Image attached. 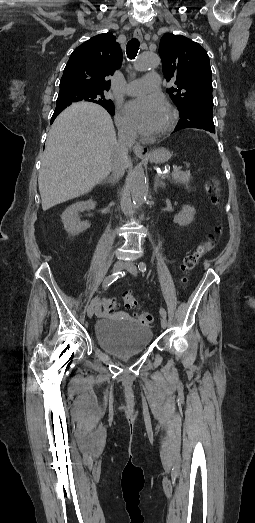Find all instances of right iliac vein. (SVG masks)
<instances>
[{"label": "right iliac vein", "mask_w": 255, "mask_h": 523, "mask_svg": "<svg viewBox=\"0 0 255 523\" xmlns=\"http://www.w3.org/2000/svg\"><path fill=\"white\" fill-rule=\"evenodd\" d=\"M125 265H126V263H124L121 260L116 261L113 266V272H119L120 270H122L125 267ZM94 311H95V305L90 304L87 309V315L89 318H91L93 316Z\"/></svg>", "instance_id": "63e3f726"}]
</instances>
